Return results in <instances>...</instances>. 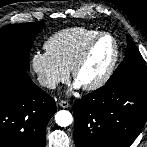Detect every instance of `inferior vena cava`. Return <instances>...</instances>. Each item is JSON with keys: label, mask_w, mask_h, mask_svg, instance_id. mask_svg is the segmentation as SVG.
<instances>
[{"label": "inferior vena cava", "mask_w": 147, "mask_h": 147, "mask_svg": "<svg viewBox=\"0 0 147 147\" xmlns=\"http://www.w3.org/2000/svg\"><path fill=\"white\" fill-rule=\"evenodd\" d=\"M38 81H39V84L41 86H44V87H47L49 89H55L56 86H57V82L50 79V78H46L44 76H40L38 77Z\"/></svg>", "instance_id": "602c4592"}]
</instances>
